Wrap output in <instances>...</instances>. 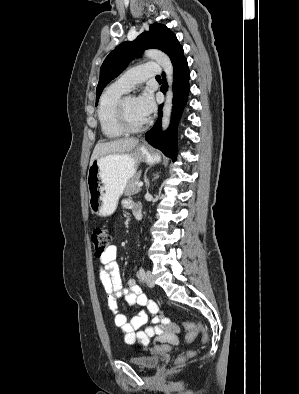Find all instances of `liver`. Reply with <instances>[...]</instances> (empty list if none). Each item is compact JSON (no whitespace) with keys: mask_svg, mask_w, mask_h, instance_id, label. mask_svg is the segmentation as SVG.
<instances>
[{"mask_svg":"<svg viewBox=\"0 0 299 394\" xmlns=\"http://www.w3.org/2000/svg\"><path fill=\"white\" fill-rule=\"evenodd\" d=\"M138 143V139L126 138L117 139L108 142H99L96 144L90 164L97 158L109 155V154H124L131 152Z\"/></svg>","mask_w":299,"mask_h":394,"instance_id":"6515ba94","label":"liver"}]
</instances>
